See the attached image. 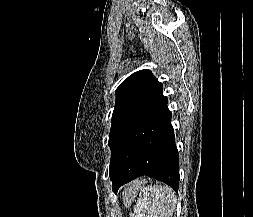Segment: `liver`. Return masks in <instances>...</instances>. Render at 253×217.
I'll return each mask as SVG.
<instances>
[{"mask_svg":"<svg viewBox=\"0 0 253 217\" xmlns=\"http://www.w3.org/2000/svg\"><path fill=\"white\" fill-rule=\"evenodd\" d=\"M142 182L135 180L133 181L129 186H126L124 189V193L125 195H131L132 193L135 192V190H137L138 188L141 187Z\"/></svg>","mask_w":253,"mask_h":217,"instance_id":"6515ba94","label":"liver"}]
</instances>
